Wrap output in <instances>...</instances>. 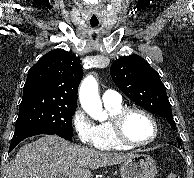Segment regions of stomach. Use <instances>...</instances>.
Returning <instances> with one entry per match:
<instances>
[{"mask_svg":"<svg viewBox=\"0 0 194 178\" xmlns=\"http://www.w3.org/2000/svg\"><path fill=\"white\" fill-rule=\"evenodd\" d=\"M120 174L122 178H155L156 162L149 155L136 154L121 164Z\"/></svg>","mask_w":194,"mask_h":178,"instance_id":"0dacf381","label":"stomach"}]
</instances>
